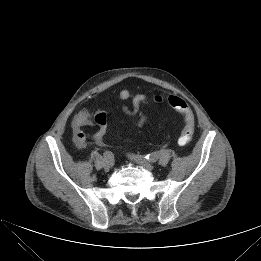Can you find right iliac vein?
<instances>
[{"label":"right iliac vein","instance_id":"63e3f726","mask_svg":"<svg viewBox=\"0 0 261 261\" xmlns=\"http://www.w3.org/2000/svg\"><path fill=\"white\" fill-rule=\"evenodd\" d=\"M103 168H104V170L109 171L112 168V163L109 161H105L103 163Z\"/></svg>","mask_w":261,"mask_h":261}]
</instances>
